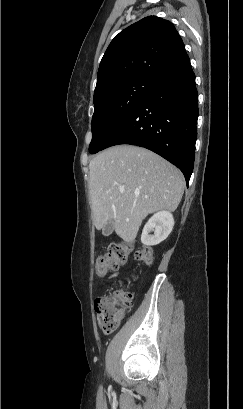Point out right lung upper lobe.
I'll return each instance as SVG.
<instances>
[{
	"mask_svg": "<svg viewBox=\"0 0 243 409\" xmlns=\"http://www.w3.org/2000/svg\"><path fill=\"white\" fill-rule=\"evenodd\" d=\"M186 55L173 23L148 16L121 31L99 66L94 101L114 86L136 78L157 81Z\"/></svg>",
	"mask_w": 243,
	"mask_h": 409,
	"instance_id": "obj_1",
	"label": "right lung upper lobe"
}]
</instances>
